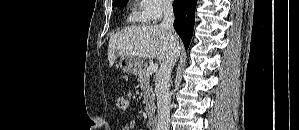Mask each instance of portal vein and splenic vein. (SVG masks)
<instances>
[{"instance_id": "obj_1", "label": "portal vein and splenic vein", "mask_w": 299, "mask_h": 130, "mask_svg": "<svg viewBox=\"0 0 299 130\" xmlns=\"http://www.w3.org/2000/svg\"><path fill=\"white\" fill-rule=\"evenodd\" d=\"M158 69V65L157 64H151L148 69H147V73L150 75V74H153L154 72H156Z\"/></svg>"}]
</instances>
